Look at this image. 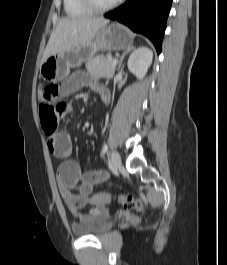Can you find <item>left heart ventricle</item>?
<instances>
[{
  "label": "left heart ventricle",
  "mask_w": 227,
  "mask_h": 265,
  "mask_svg": "<svg viewBox=\"0 0 227 265\" xmlns=\"http://www.w3.org/2000/svg\"><path fill=\"white\" fill-rule=\"evenodd\" d=\"M97 5L99 6H105L113 2L114 0H94Z\"/></svg>",
  "instance_id": "1"
}]
</instances>
